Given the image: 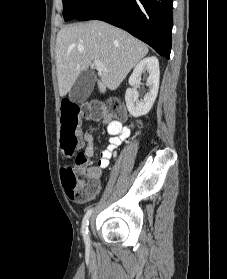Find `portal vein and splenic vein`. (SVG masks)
<instances>
[{
    "label": "portal vein and splenic vein",
    "instance_id": "obj_1",
    "mask_svg": "<svg viewBox=\"0 0 227 279\" xmlns=\"http://www.w3.org/2000/svg\"><path fill=\"white\" fill-rule=\"evenodd\" d=\"M93 63L98 70L107 71L106 68L104 67L103 63L100 60L95 59Z\"/></svg>",
    "mask_w": 227,
    "mask_h": 279
}]
</instances>
